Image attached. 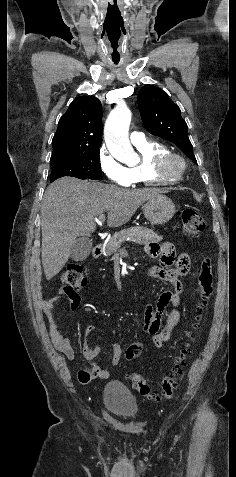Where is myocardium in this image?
Instances as JSON below:
<instances>
[{
  "instance_id": "1",
  "label": "myocardium",
  "mask_w": 236,
  "mask_h": 477,
  "mask_svg": "<svg viewBox=\"0 0 236 477\" xmlns=\"http://www.w3.org/2000/svg\"><path fill=\"white\" fill-rule=\"evenodd\" d=\"M186 167L187 163L182 155L168 151L152 158L150 172L161 182L173 184L182 178Z\"/></svg>"
}]
</instances>
